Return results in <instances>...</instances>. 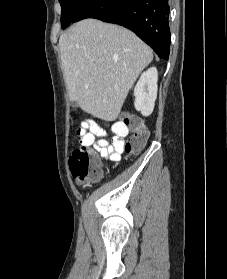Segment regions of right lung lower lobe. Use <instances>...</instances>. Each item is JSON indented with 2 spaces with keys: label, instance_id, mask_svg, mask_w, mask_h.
I'll return each mask as SVG.
<instances>
[{
  "label": "right lung lower lobe",
  "instance_id": "obj_1",
  "mask_svg": "<svg viewBox=\"0 0 227 279\" xmlns=\"http://www.w3.org/2000/svg\"><path fill=\"white\" fill-rule=\"evenodd\" d=\"M169 11L168 0H86L73 22L95 18L124 26L167 60L171 42Z\"/></svg>",
  "mask_w": 227,
  "mask_h": 279
}]
</instances>
